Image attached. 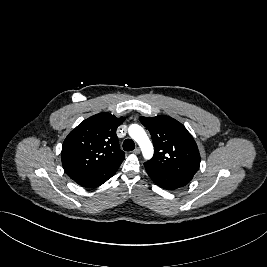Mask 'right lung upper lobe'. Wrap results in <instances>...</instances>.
I'll use <instances>...</instances> for the list:
<instances>
[{"instance_id": "1", "label": "right lung upper lobe", "mask_w": 267, "mask_h": 267, "mask_svg": "<svg viewBox=\"0 0 267 267\" xmlns=\"http://www.w3.org/2000/svg\"><path fill=\"white\" fill-rule=\"evenodd\" d=\"M125 120L99 113L81 122L63 142L62 165L71 179L121 164L125 153L119 148L116 130Z\"/></svg>"}]
</instances>
